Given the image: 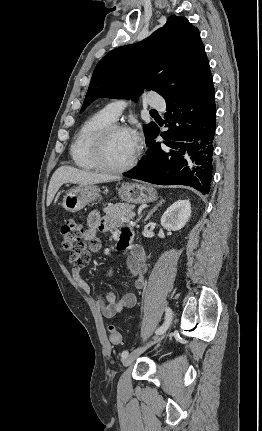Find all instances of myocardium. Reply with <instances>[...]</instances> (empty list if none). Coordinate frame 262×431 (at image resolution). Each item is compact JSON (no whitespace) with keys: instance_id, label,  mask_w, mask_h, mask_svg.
Here are the masks:
<instances>
[{"instance_id":"obj_1","label":"myocardium","mask_w":262,"mask_h":431,"mask_svg":"<svg viewBox=\"0 0 262 431\" xmlns=\"http://www.w3.org/2000/svg\"><path fill=\"white\" fill-rule=\"evenodd\" d=\"M118 131L129 132L130 129L125 125L112 123L100 130L95 138L93 157L96 164L102 171L109 173H122L134 167L138 161L140 150L136 149L132 158L126 164L121 166H113L108 163L106 158V145L110 136Z\"/></svg>"}]
</instances>
